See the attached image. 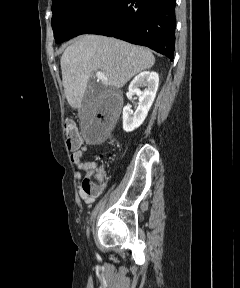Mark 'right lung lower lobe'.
<instances>
[{
    "label": "right lung lower lobe",
    "mask_w": 240,
    "mask_h": 288,
    "mask_svg": "<svg viewBox=\"0 0 240 288\" xmlns=\"http://www.w3.org/2000/svg\"><path fill=\"white\" fill-rule=\"evenodd\" d=\"M175 5L176 0H112L80 34L111 36L147 46L173 61Z\"/></svg>",
    "instance_id": "1"
}]
</instances>
